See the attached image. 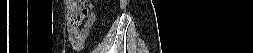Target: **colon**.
Instances as JSON below:
<instances>
[{
  "label": "colon",
  "mask_w": 253,
  "mask_h": 53,
  "mask_svg": "<svg viewBox=\"0 0 253 53\" xmlns=\"http://www.w3.org/2000/svg\"><path fill=\"white\" fill-rule=\"evenodd\" d=\"M67 24L72 27H79L86 18L89 17L91 10L86 5V1H67Z\"/></svg>",
  "instance_id": "5ec220e1"
}]
</instances>
